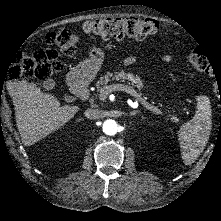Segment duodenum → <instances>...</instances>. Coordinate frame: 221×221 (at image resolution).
Listing matches in <instances>:
<instances>
[{
	"label": "duodenum",
	"instance_id": "obj_1",
	"mask_svg": "<svg viewBox=\"0 0 221 221\" xmlns=\"http://www.w3.org/2000/svg\"><path fill=\"white\" fill-rule=\"evenodd\" d=\"M70 87L75 98L86 99L89 95L87 73L84 70L73 72L70 77Z\"/></svg>",
	"mask_w": 221,
	"mask_h": 221
}]
</instances>
